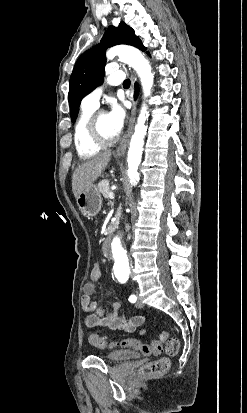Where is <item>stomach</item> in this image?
<instances>
[{
    "instance_id": "1",
    "label": "stomach",
    "mask_w": 247,
    "mask_h": 413,
    "mask_svg": "<svg viewBox=\"0 0 247 413\" xmlns=\"http://www.w3.org/2000/svg\"><path fill=\"white\" fill-rule=\"evenodd\" d=\"M76 200L83 217H95L102 207L103 198L96 184H91L84 192L78 194Z\"/></svg>"
}]
</instances>
